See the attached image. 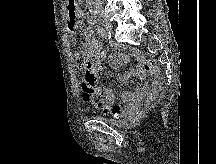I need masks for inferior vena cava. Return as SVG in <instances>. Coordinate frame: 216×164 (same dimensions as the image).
Instances as JSON below:
<instances>
[{"label":"inferior vena cava","mask_w":216,"mask_h":164,"mask_svg":"<svg viewBox=\"0 0 216 164\" xmlns=\"http://www.w3.org/2000/svg\"><path fill=\"white\" fill-rule=\"evenodd\" d=\"M96 2H100V0H96Z\"/></svg>","instance_id":"602c4592"}]
</instances>
